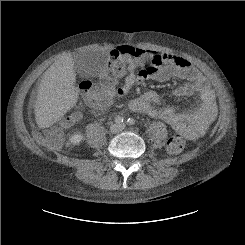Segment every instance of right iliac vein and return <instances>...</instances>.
<instances>
[{
	"mask_svg": "<svg viewBox=\"0 0 245 245\" xmlns=\"http://www.w3.org/2000/svg\"><path fill=\"white\" fill-rule=\"evenodd\" d=\"M119 130H120V127H119V125H117V124H113V125H111V127H110V132H111V133H117Z\"/></svg>",
	"mask_w": 245,
	"mask_h": 245,
	"instance_id": "63e3f726",
	"label": "right iliac vein"
}]
</instances>
